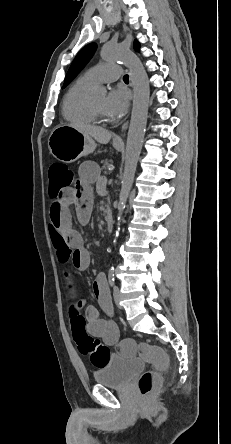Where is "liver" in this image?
<instances>
[{"label":"liver","instance_id":"obj_1","mask_svg":"<svg viewBox=\"0 0 231 444\" xmlns=\"http://www.w3.org/2000/svg\"><path fill=\"white\" fill-rule=\"evenodd\" d=\"M69 126L77 129L101 144H107L112 137L111 132L101 127L88 124H70Z\"/></svg>","mask_w":231,"mask_h":444}]
</instances>
